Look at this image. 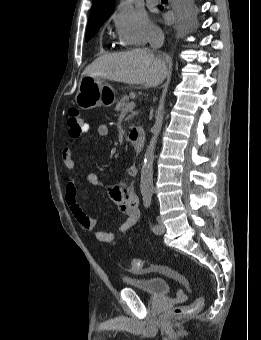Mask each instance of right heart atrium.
<instances>
[{
	"label": "right heart atrium",
	"instance_id": "1",
	"mask_svg": "<svg viewBox=\"0 0 261 340\" xmlns=\"http://www.w3.org/2000/svg\"><path fill=\"white\" fill-rule=\"evenodd\" d=\"M119 39L126 45L142 46L160 34V29L138 9L119 8L113 14Z\"/></svg>",
	"mask_w": 261,
	"mask_h": 340
}]
</instances>
